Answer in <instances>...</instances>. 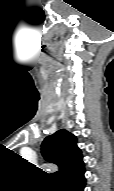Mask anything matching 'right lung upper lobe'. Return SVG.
Instances as JSON below:
<instances>
[{
  "instance_id": "right-lung-upper-lobe-1",
  "label": "right lung upper lobe",
  "mask_w": 114,
  "mask_h": 191,
  "mask_svg": "<svg viewBox=\"0 0 114 191\" xmlns=\"http://www.w3.org/2000/svg\"><path fill=\"white\" fill-rule=\"evenodd\" d=\"M76 143V137L64 129L46 137L42 142L43 157L59 167V171L54 173L58 182L84 168L82 154Z\"/></svg>"
}]
</instances>
